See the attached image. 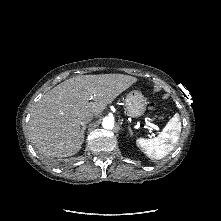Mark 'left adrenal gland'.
<instances>
[{
	"label": "left adrenal gland",
	"mask_w": 221,
	"mask_h": 221,
	"mask_svg": "<svg viewBox=\"0 0 221 221\" xmlns=\"http://www.w3.org/2000/svg\"><path fill=\"white\" fill-rule=\"evenodd\" d=\"M128 130H129L130 135L132 136V135H133V132H132L131 127H130V126H128Z\"/></svg>",
	"instance_id": "obj_1"
}]
</instances>
